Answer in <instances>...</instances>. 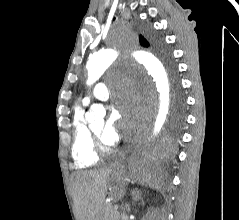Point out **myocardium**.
Wrapping results in <instances>:
<instances>
[{
    "label": "myocardium",
    "mask_w": 239,
    "mask_h": 220,
    "mask_svg": "<svg viewBox=\"0 0 239 220\" xmlns=\"http://www.w3.org/2000/svg\"><path fill=\"white\" fill-rule=\"evenodd\" d=\"M90 132L93 138V144L95 151L98 155H106L113 151V148L103 142L101 137L93 130V128H90Z\"/></svg>",
    "instance_id": "myocardium-1"
}]
</instances>
